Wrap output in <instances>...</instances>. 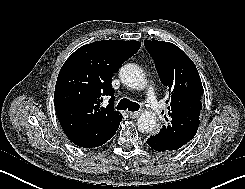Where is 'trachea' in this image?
<instances>
[{
  "label": "trachea",
  "mask_w": 245,
  "mask_h": 189,
  "mask_svg": "<svg viewBox=\"0 0 245 189\" xmlns=\"http://www.w3.org/2000/svg\"><path fill=\"white\" fill-rule=\"evenodd\" d=\"M118 110H127L128 111H138L140 109V105L136 102H132L129 99H121L118 105L116 106Z\"/></svg>",
  "instance_id": "3493384b"
}]
</instances>
